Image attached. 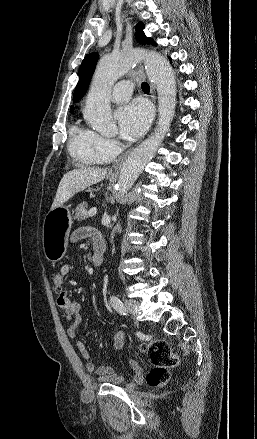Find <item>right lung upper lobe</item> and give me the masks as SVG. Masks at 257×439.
I'll use <instances>...</instances> for the list:
<instances>
[{
	"instance_id": "cb5924a9",
	"label": "right lung upper lobe",
	"mask_w": 257,
	"mask_h": 439,
	"mask_svg": "<svg viewBox=\"0 0 257 439\" xmlns=\"http://www.w3.org/2000/svg\"><path fill=\"white\" fill-rule=\"evenodd\" d=\"M73 110H74V106H71L70 111L73 112Z\"/></svg>"
}]
</instances>
